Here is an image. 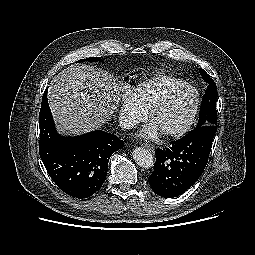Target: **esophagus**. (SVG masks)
Listing matches in <instances>:
<instances>
[{
	"mask_svg": "<svg viewBox=\"0 0 255 255\" xmlns=\"http://www.w3.org/2000/svg\"><path fill=\"white\" fill-rule=\"evenodd\" d=\"M143 147L148 149L150 152H154L155 151V146L152 145V144H144Z\"/></svg>",
	"mask_w": 255,
	"mask_h": 255,
	"instance_id": "obj_1",
	"label": "esophagus"
}]
</instances>
